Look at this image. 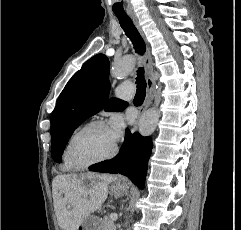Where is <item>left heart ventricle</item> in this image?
<instances>
[{
	"mask_svg": "<svg viewBox=\"0 0 241 230\" xmlns=\"http://www.w3.org/2000/svg\"><path fill=\"white\" fill-rule=\"evenodd\" d=\"M107 127H94L83 132L74 142L71 157L75 163H85L108 155L115 147Z\"/></svg>",
	"mask_w": 241,
	"mask_h": 230,
	"instance_id": "1",
	"label": "left heart ventricle"
}]
</instances>
